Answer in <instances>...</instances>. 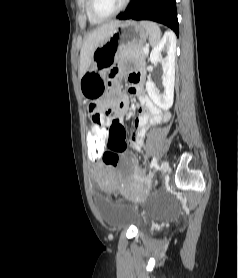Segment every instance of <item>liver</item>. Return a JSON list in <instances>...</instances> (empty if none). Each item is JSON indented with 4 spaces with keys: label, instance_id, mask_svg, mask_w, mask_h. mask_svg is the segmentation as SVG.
Returning <instances> with one entry per match:
<instances>
[{
    "label": "liver",
    "instance_id": "6515ba94",
    "mask_svg": "<svg viewBox=\"0 0 238 278\" xmlns=\"http://www.w3.org/2000/svg\"><path fill=\"white\" fill-rule=\"evenodd\" d=\"M120 21H111L97 27L84 41L80 52L79 76L89 69L93 61V53L97 47L102 45L109 36L111 30L118 26Z\"/></svg>",
    "mask_w": 238,
    "mask_h": 278
}]
</instances>
